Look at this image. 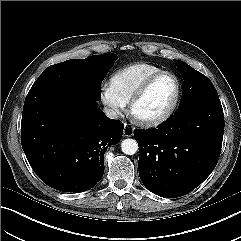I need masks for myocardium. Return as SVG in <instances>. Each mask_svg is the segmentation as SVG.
<instances>
[{"label": "myocardium", "mask_w": 241, "mask_h": 241, "mask_svg": "<svg viewBox=\"0 0 241 241\" xmlns=\"http://www.w3.org/2000/svg\"><path fill=\"white\" fill-rule=\"evenodd\" d=\"M163 76H171L174 78L176 82V93L174 96V99L171 103V105L167 108L165 112L160 114L159 116L153 117V118H142L138 116L135 112V108L137 104L144 98V96L147 94L151 86L161 77ZM181 93H182V85L179 77L167 70H162L160 72H157L150 76L140 87L139 89L135 92L133 97L131 98L129 102V113L132 119L139 125L145 126V127H155L163 124L167 120H169L174 112L176 111L180 98H181Z\"/></svg>", "instance_id": "myocardium-1"}]
</instances>
